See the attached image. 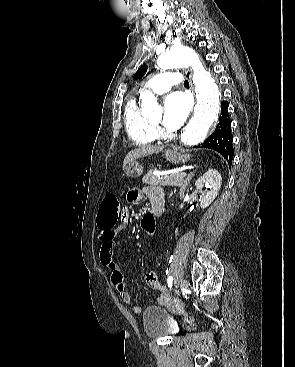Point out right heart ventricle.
<instances>
[{
	"mask_svg": "<svg viewBox=\"0 0 295 367\" xmlns=\"http://www.w3.org/2000/svg\"><path fill=\"white\" fill-rule=\"evenodd\" d=\"M124 125L128 137L137 145H150L158 137L156 129L151 125L141 112L136 100L127 103L124 110Z\"/></svg>",
	"mask_w": 295,
	"mask_h": 367,
	"instance_id": "e07e8e85",
	"label": "right heart ventricle"
}]
</instances>
